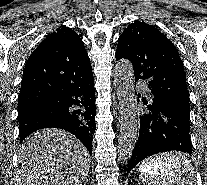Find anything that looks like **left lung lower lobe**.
Segmentation results:
<instances>
[{
    "instance_id": "0a47b994",
    "label": "left lung lower lobe",
    "mask_w": 207,
    "mask_h": 185,
    "mask_svg": "<svg viewBox=\"0 0 207 185\" xmlns=\"http://www.w3.org/2000/svg\"><path fill=\"white\" fill-rule=\"evenodd\" d=\"M138 98H141V95H138ZM142 101L146 106L145 113L140 116L139 138L127 172L141 160L157 153L176 150L192 154L190 115L184 114L174 104L155 95H152L149 101L144 98Z\"/></svg>"
}]
</instances>
